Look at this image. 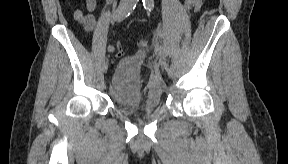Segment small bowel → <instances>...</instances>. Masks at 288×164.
I'll return each mask as SVG.
<instances>
[{
    "instance_id": "small-bowel-1",
    "label": "small bowel",
    "mask_w": 288,
    "mask_h": 164,
    "mask_svg": "<svg viewBox=\"0 0 288 164\" xmlns=\"http://www.w3.org/2000/svg\"><path fill=\"white\" fill-rule=\"evenodd\" d=\"M96 3L94 0H88L87 1V13L84 14L80 9L75 10L74 16L75 18L78 17H84L83 25L87 30H91L95 24V17L93 15V11L95 9Z\"/></svg>"
}]
</instances>
